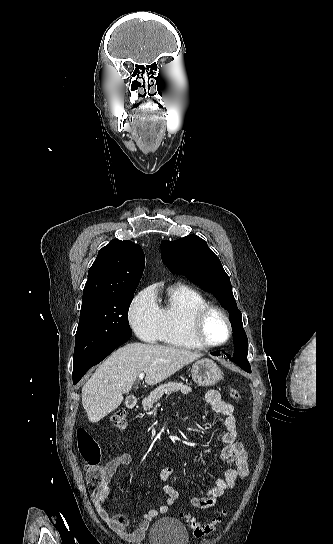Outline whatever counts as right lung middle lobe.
Wrapping results in <instances>:
<instances>
[{"label":"right lung middle lobe","mask_w":333,"mask_h":544,"mask_svg":"<svg viewBox=\"0 0 333 544\" xmlns=\"http://www.w3.org/2000/svg\"><path fill=\"white\" fill-rule=\"evenodd\" d=\"M134 292L101 296L82 304L75 337L74 366L115 338L132 335L128 310Z\"/></svg>","instance_id":"obj_1"}]
</instances>
